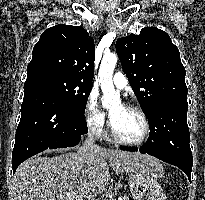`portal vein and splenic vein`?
<instances>
[{
	"instance_id": "obj_1",
	"label": "portal vein and splenic vein",
	"mask_w": 205,
	"mask_h": 200,
	"mask_svg": "<svg viewBox=\"0 0 205 200\" xmlns=\"http://www.w3.org/2000/svg\"><path fill=\"white\" fill-rule=\"evenodd\" d=\"M67 196L71 197V196H73V193H68Z\"/></svg>"
}]
</instances>
